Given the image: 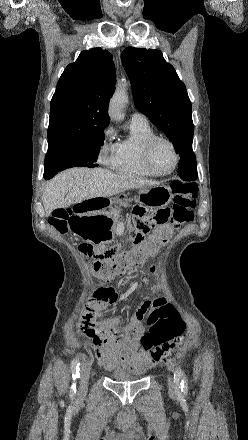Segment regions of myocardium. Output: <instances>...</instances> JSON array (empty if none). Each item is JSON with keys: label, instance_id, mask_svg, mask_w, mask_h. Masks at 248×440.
<instances>
[{"label": "myocardium", "instance_id": "f54148a6", "mask_svg": "<svg viewBox=\"0 0 248 440\" xmlns=\"http://www.w3.org/2000/svg\"><path fill=\"white\" fill-rule=\"evenodd\" d=\"M166 143L167 145L170 146V148L172 149V152L174 154V165L173 167L167 171V172H160L158 170H156L152 164L151 161V156H152V151L154 149V147L158 144V143ZM141 159H142V163L145 167V169L151 173L154 176H168L171 175L178 167L179 165V161H180V155L178 153V150L175 146V144L168 138L165 137H161V136H154L150 139H148L143 148H142V154H141Z\"/></svg>", "mask_w": 248, "mask_h": 440}]
</instances>
